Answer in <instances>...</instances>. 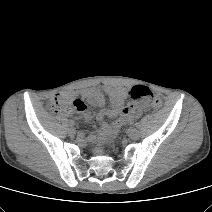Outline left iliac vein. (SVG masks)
Segmentation results:
<instances>
[{"label": "left iliac vein", "mask_w": 212, "mask_h": 212, "mask_svg": "<svg viewBox=\"0 0 212 212\" xmlns=\"http://www.w3.org/2000/svg\"><path fill=\"white\" fill-rule=\"evenodd\" d=\"M140 136V133L137 129H131L130 130V133H129V137L132 139V140H137Z\"/></svg>", "instance_id": "obj_1"}]
</instances>
